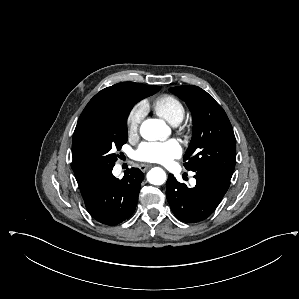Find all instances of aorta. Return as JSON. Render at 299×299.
I'll use <instances>...</instances> for the list:
<instances>
[{
  "mask_svg": "<svg viewBox=\"0 0 299 299\" xmlns=\"http://www.w3.org/2000/svg\"><path fill=\"white\" fill-rule=\"evenodd\" d=\"M140 134L146 140H164L170 134V129L163 120L147 119L141 124ZM147 180L153 185H162L166 181V173L154 167L147 173Z\"/></svg>",
  "mask_w": 299,
  "mask_h": 299,
  "instance_id": "1",
  "label": "aorta"
}]
</instances>
